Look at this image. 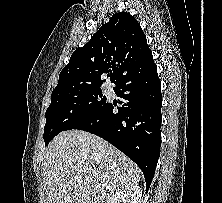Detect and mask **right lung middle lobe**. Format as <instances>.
<instances>
[{"label": "right lung middle lobe", "mask_w": 222, "mask_h": 203, "mask_svg": "<svg viewBox=\"0 0 222 203\" xmlns=\"http://www.w3.org/2000/svg\"><path fill=\"white\" fill-rule=\"evenodd\" d=\"M101 85H85L52 92L51 104L46 110L44 141L48 143L69 126L84 119L107 101Z\"/></svg>", "instance_id": "right-lung-middle-lobe-1"}]
</instances>
